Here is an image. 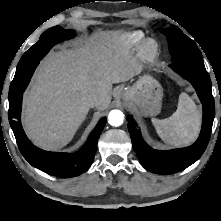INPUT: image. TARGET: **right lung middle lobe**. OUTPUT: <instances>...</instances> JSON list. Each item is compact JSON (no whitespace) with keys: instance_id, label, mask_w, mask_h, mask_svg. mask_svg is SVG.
<instances>
[{"instance_id":"obj_1","label":"right lung middle lobe","mask_w":221,"mask_h":221,"mask_svg":"<svg viewBox=\"0 0 221 221\" xmlns=\"http://www.w3.org/2000/svg\"><path fill=\"white\" fill-rule=\"evenodd\" d=\"M74 36V32L70 30H64L60 26H55L45 31L39 38V41L34 44L28 51L22 56L27 61H19L15 77L10 85L9 99L16 97L21 89L29 82L33 70L37 66L33 63L35 59L40 56H45L47 52L57 43L70 39ZM33 58V59H30Z\"/></svg>"}]
</instances>
